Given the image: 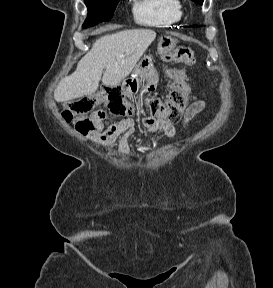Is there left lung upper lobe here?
Returning <instances> with one entry per match:
<instances>
[{"instance_id": "5c2ea615", "label": "left lung upper lobe", "mask_w": 273, "mask_h": 288, "mask_svg": "<svg viewBox=\"0 0 273 288\" xmlns=\"http://www.w3.org/2000/svg\"><path fill=\"white\" fill-rule=\"evenodd\" d=\"M193 1L196 2V3H198V4H200V5L203 4V0H193Z\"/></svg>"}]
</instances>
